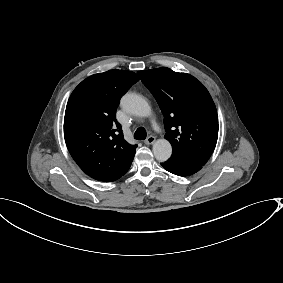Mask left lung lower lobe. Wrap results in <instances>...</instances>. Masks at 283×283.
<instances>
[{
    "mask_svg": "<svg viewBox=\"0 0 283 283\" xmlns=\"http://www.w3.org/2000/svg\"><path fill=\"white\" fill-rule=\"evenodd\" d=\"M167 171L178 176H189L199 171L203 165L190 162L181 158L170 157L168 161L161 163Z\"/></svg>",
    "mask_w": 283,
    "mask_h": 283,
    "instance_id": "obj_1",
    "label": "left lung lower lobe"
}]
</instances>
